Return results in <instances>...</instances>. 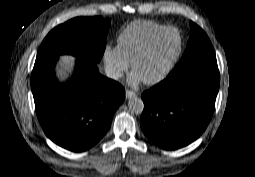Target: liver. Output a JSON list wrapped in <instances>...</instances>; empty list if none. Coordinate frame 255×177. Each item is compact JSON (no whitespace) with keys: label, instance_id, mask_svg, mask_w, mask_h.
<instances>
[{"label":"liver","instance_id":"1","mask_svg":"<svg viewBox=\"0 0 255 177\" xmlns=\"http://www.w3.org/2000/svg\"><path fill=\"white\" fill-rule=\"evenodd\" d=\"M76 65V58L70 55H64L59 58L56 72L60 82L69 81Z\"/></svg>","mask_w":255,"mask_h":177}]
</instances>
